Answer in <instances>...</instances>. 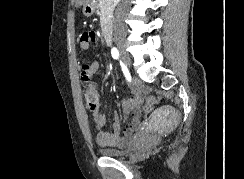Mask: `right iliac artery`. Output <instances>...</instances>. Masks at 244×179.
I'll list each match as a JSON object with an SVG mask.
<instances>
[{
	"instance_id": "1",
	"label": "right iliac artery",
	"mask_w": 244,
	"mask_h": 179,
	"mask_svg": "<svg viewBox=\"0 0 244 179\" xmlns=\"http://www.w3.org/2000/svg\"><path fill=\"white\" fill-rule=\"evenodd\" d=\"M111 54H112V57L114 58V59H118L119 58V51L117 50V48H112V50H111ZM127 69V68H126ZM125 73V72H124Z\"/></svg>"
}]
</instances>
